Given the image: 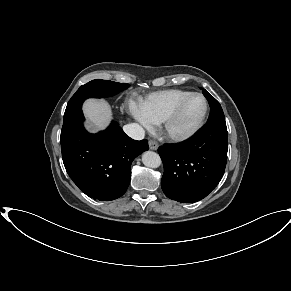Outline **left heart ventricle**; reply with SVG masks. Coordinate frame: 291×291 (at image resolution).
Returning <instances> with one entry per match:
<instances>
[{"instance_id":"b2bd125f","label":"left heart ventricle","mask_w":291,"mask_h":291,"mask_svg":"<svg viewBox=\"0 0 291 291\" xmlns=\"http://www.w3.org/2000/svg\"><path fill=\"white\" fill-rule=\"evenodd\" d=\"M203 109L204 103L200 97L191 98L175 122L174 131L184 132L191 129L200 119Z\"/></svg>"}]
</instances>
